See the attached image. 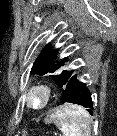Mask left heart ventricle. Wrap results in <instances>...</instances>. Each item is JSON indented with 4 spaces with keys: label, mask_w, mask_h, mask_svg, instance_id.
<instances>
[{
    "label": "left heart ventricle",
    "mask_w": 117,
    "mask_h": 136,
    "mask_svg": "<svg viewBox=\"0 0 117 136\" xmlns=\"http://www.w3.org/2000/svg\"><path fill=\"white\" fill-rule=\"evenodd\" d=\"M40 100V97L37 95V94H33L31 96V101L34 103V104H37Z\"/></svg>",
    "instance_id": "b2bd125f"
}]
</instances>
